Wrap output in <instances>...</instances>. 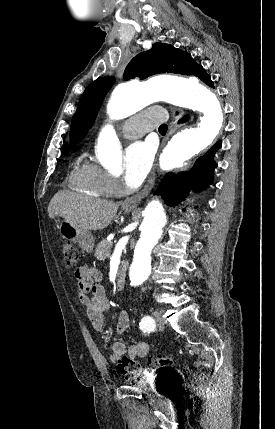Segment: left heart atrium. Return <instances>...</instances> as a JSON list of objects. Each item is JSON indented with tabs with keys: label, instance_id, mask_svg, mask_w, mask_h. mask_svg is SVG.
<instances>
[{
	"label": "left heart atrium",
	"instance_id": "obj_1",
	"mask_svg": "<svg viewBox=\"0 0 275 429\" xmlns=\"http://www.w3.org/2000/svg\"><path fill=\"white\" fill-rule=\"evenodd\" d=\"M155 146L150 141H138L131 144L125 153L124 182L130 188H136L144 181L153 161Z\"/></svg>",
	"mask_w": 275,
	"mask_h": 429
}]
</instances>
